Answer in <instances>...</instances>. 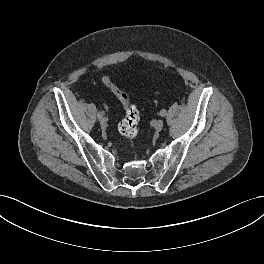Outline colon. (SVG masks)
Masks as SVG:
<instances>
[{"mask_svg": "<svg viewBox=\"0 0 264 264\" xmlns=\"http://www.w3.org/2000/svg\"><path fill=\"white\" fill-rule=\"evenodd\" d=\"M103 84L121 101L124 109V117L118 124L120 134L128 141L133 140L139 130V111L133 105L128 95L122 92L108 76L102 78Z\"/></svg>", "mask_w": 264, "mask_h": 264, "instance_id": "obj_1", "label": "colon"}]
</instances>
